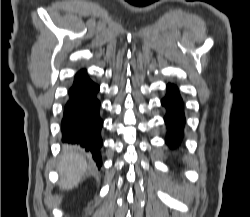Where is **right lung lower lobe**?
I'll return each mask as SVG.
<instances>
[{"label":"right lung lower lobe","instance_id":"98d812e1","mask_svg":"<svg viewBox=\"0 0 250 217\" xmlns=\"http://www.w3.org/2000/svg\"><path fill=\"white\" fill-rule=\"evenodd\" d=\"M98 91L99 86L89 79L85 70L76 74L69 89V99L64 106L61 132L63 141L84 148L91 154L97 166L101 167L103 120L100 118Z\"/></svg>","mask_w":250,"mask_h":217}]
</instances>
